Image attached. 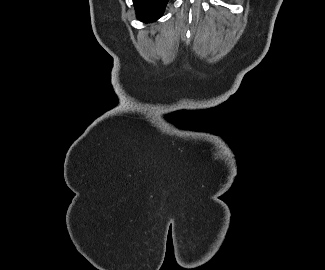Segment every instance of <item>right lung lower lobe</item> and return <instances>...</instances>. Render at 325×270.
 I'll return each instance as SVG.
<instances>
[{
    "label": "right lung lower lobe",
    "instance_id": "1",
    "mask_svg": "<svg viewBox=\"0 0 325 270\" xmlns=\"http://www.w3.org/2000/svg\"><path fill=\"white\" fill-rule=\"evenodd\" d=\"M137 17L143 22H152L160 18L168 0H133Z\"/></svg>",
    "mask_w": 325,
    "mask_h": 270
}]
</instances>
